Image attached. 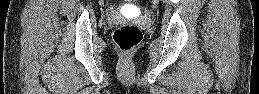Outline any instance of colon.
<instances>
[{
	"label": "colon",
	"instance_id": "colon-1",
	"mask_svg": "<svg viewBox=\"0 0 259 94\" xmlns=\"http://www.w3.org/2000/svg\"><path fill=\"white\" fill-rule=\"evenodd\" d=\"M113 40L117 48L127 54L139 45L142 40V32L136 25L124 24L114 30Z\"/></svg>",
	"mask_w": 259,
	"mask_h": 94
}]
</instances>
